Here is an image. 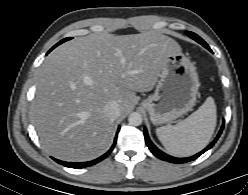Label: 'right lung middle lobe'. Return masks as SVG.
<instances>
[{
  "label": "right lung middle lobe",
  "instance_id": "1",
  "mask_svg": "<svg viewBox=\"0 0 248 195\" xmlns=\"http://www.w3.org/2000/svg\"><path fill=\"white\" fill-rule=\"evenodd\" d=\"M71 38H65V39H63V40H61L59 43H57L53 48H55V47H57L58 45H60L61 43H63V42H65V41H67V40H70ZM52 48V49H53Z\"/></svg>",
  "mask_w": 248,
  "mask_h": 195
}]
</instances>
